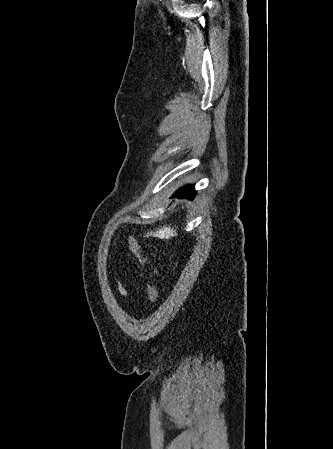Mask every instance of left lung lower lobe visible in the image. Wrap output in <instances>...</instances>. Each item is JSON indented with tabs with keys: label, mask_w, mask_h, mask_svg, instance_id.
Segmentation results:
<instances>
[{
	"label": "left lung lower lobe",
	"mask_w": 333,
	"mask_h": 449,
	"mask_svg": "<svg viewBox=\"0 0 333 449\" xmlns=\"http://www.w3.org/2000/svg\"><path fill=\"white\" fill-rule=\"evenodd\" d=\"M195 190L193 185H187L175 192L172 197L178 198H193L195 196Z\"/></svg>",
	"instance_id": "obj_1"
}]
</instances>
